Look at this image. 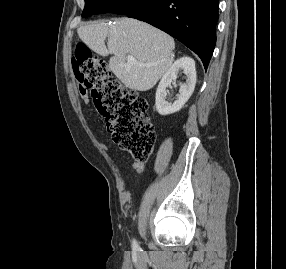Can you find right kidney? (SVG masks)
<instances>
[{
	"mask_svg": "<svg viewBox=\"0 0 286 269\" xmlns=\"http://www.w3.org/2000/svg\"><path fill=\"white\" fill-rule=\"evenodd\" d=\"M180 71L185 74V82L180 85V95L172 104L165 100L166 88L176 80ZM196 84L195 61L190 57H182L175 61L163 75L156 91V110L160 115H169L179 111L191 97Z\"/></svg>",
	"mask_w": 286,
	"mask_h": 269,
	"instance_id": "ca27d5eb",
	"label": "right kidney"
}]
</instances>
